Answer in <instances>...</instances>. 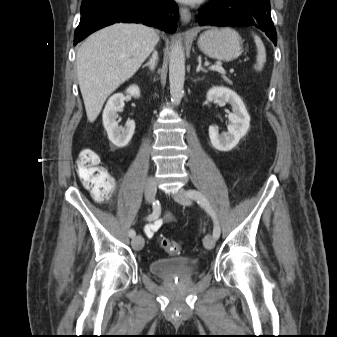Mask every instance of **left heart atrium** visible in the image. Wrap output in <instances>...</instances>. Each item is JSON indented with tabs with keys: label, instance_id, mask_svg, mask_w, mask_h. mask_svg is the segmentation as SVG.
<instances>
[{
	"label": "left heart atrium",
	"instance_id": "obj_1",
	"mask_svg": "<svg viewBox=\"0 0 337 337\" xmlns=\"http://www.w3.org/2000/svg\"><path fill=\"white\" fill-rule=\"evenodd\" d=\"M182 2H186V3H195V2H198L200 0H180Z\"/></svg>",
	"mask_w": 337,
	"mask_h": 337
}]
</instances>
